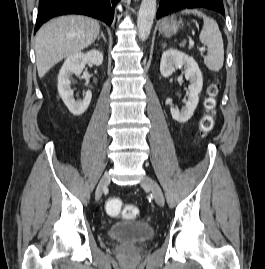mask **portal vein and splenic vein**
Masks as SVG:
<instances>
[{
    "mask_svg": "<svg viewBox=\"0 0 265 269\" xmlns=\"http://www.w3.org/2000/svg\"><path fill=\"white\" fill-rule=\"evenodd\" d=\"M189 47H190V48L194 47V42H193V41H190V42H189ZM199 51H200V52H204V51H205V47H201V48H199Z\"/></svg>",
    "mask_w": 265,
    "mask_h": 269,
    "instance_id": "portal-vein-and-splenic-vein-1",
    "label": "portal vein and splenic vein"
}]
</instances>
